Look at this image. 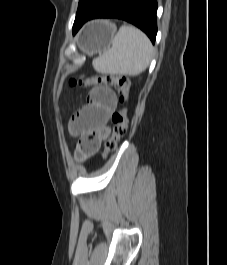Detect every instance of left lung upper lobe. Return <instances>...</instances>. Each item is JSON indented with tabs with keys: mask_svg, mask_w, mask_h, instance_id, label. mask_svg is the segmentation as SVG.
I'll use <instances>...</instances> for the list:
<instances>
[{
	"mask_svg": "<svg viewBox=\"0 0 227 265\" xmlns=\"http://www.w3.org/2000/svg\"><path fill=\"white\" fill-rule=\"evenodd\" d=\"M105 0H79L74 24L91 15Z\"/></svg>",
	"mask_w": 227,
	"mask_h": 265,
	"instance_id": "1",
	"label": "left lung upper lobe"
}]
</instances>
